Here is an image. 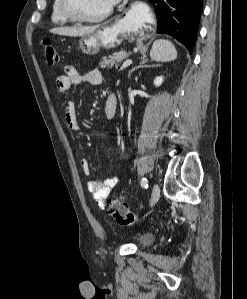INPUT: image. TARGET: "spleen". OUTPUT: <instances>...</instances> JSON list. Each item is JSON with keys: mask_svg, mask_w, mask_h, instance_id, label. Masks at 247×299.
<instances>
[{"mask_svg": "<svg viewBox=\"0 0 247 299\" xmlns=\"http://www.w3.org/2000/svg\"><path fill=\"white\" fill-rule=\"evenodd\" d=\"M150 57L157 62H170L177 58V51L170 41L159 39L153 43Z\"/></svg>", "mask_w": 247, "mask_h": 299, "instance_id": "3e777b00", "label": "spleen"}]
</instances>
